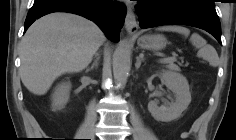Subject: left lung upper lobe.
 Listing matches in <instances>:
<instances>
[{"label":"left lung upper lobe","instance_id":"left-lung-upper-lobe-1","mask_svg":"<svg viewBox=\"0 0 236 140\" xmlns=\"http://www.w3.org/2000/svg\"><path fill=\"white\" fill-rule=\"evenodd\" d=\"M206 1H209V2H214V0H206Z\"/></svg>","mask_w":236,"mask_h":140}]
</instances>
